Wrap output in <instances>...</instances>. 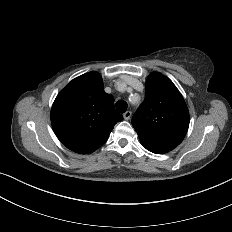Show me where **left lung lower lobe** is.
<instances>
[{"label":"left lung lower lobe","mask_w":232,"mask_h":232,"mask_svg":"<svg viewBox=\"0 0 232 232\" xmlns=\"http://www.w3.org/2000/svg\"><path fill=\"white\" fill-rule=\"evenodd\" d=\"M153 153H156V154H163L164 152H159V151H152Z\"/></svg>","instance_id":"left-lung-lower-lobe-1"}]
</instances>
